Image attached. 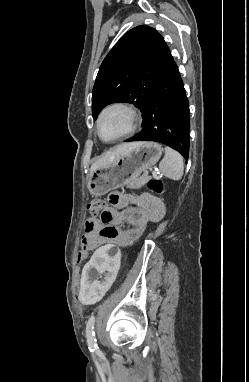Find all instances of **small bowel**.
Returning a JSON list of instances; mask_svg holds the SVG:
<instances>
[{
	"instance_id": "c3829d8e",
	"label": "small bowel",
	"mask_w": 249,
	"mask_h": 382,
	"mask_svg": "<svg viewBox=\"0 0 249 382\" xmlns=\"http://www.w3.org/2000/svg\"><path fill=\"white\" fill-rule=\"evenodd\" d=\"M107 200L110 208L85 221V233L81 238L85 253L97 250V246L105 245L106 241L119 246L130 245L141 237L148 223L159 221L165 213L163 203L150 195L141 196L136 205H130L128 196L119 192L111 193ZM124 222L129 228H121Z\"/></svg>"
}]
</instances>
